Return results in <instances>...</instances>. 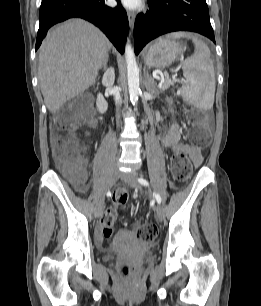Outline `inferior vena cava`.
Listing matches in <instances>:
<instances>
[{"instance_id":"1","label":"inferior vena cava","mask_w":261,"mask_h":306,"mask_svg":"<svg viewBox=\"0 0 261 306\" xmlns=\"http://www.w3.org/2000/svg\"><path fill=\"white\" fill-rule=\"evenodd\" d=\"M115 103H116V107H117V111H118L119 107L121 105L120 99H116Z\"/></svg>"}]
</instances>
